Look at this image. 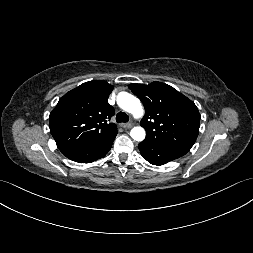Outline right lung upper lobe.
I'll list each match as a JSON object with an SVG mask.
<instances>
[{
  "mask_svg": "<svg viewBox=\"0 0 253 253\" xmlns=\"http://www.w3.org/2000/svg\"><path fill=\"white\" fill-rule=\"evenodd\" d=\"M113 86L104 80L81 84L66 93L50 113V131L59 150L69 155L117 134L108 103Z\"/></svg>",
  "mask_w": 253,
  "mask_h": 253,
  "instance_id": "right-lung-upper-lobe-1",
  "label": "right lung upper lobe"
}]
</instances>
